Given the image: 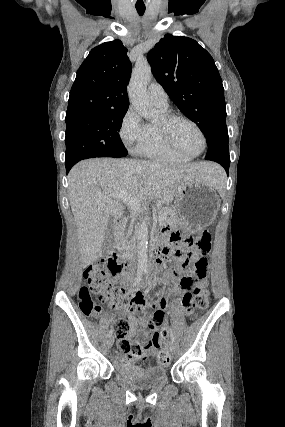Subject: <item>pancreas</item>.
<instances>
[{
	"label": "pancreas",
	"mask_w": 285,
	"mask_h": 427,
	"mask_svg": "<svg viewBox=\"0 0 285 427\" xmlns=\"http://www.w3.org/2000/svg\"><path fill=\"white\" fill-rule=\"evenodd\" d=\"M159 216H162L164 219L161 221L162 224H169L172 226H177L179 224L178 218L175 214L174 209L172 208H164L159 211ZM125 245V235L122 234L120 241L118 242L119 247H123Z\"/></svg>",
	"instance_id": "obj_1"
}]
</instances>
